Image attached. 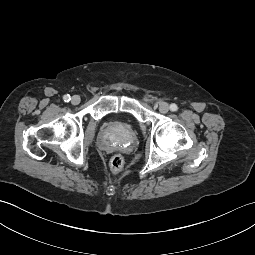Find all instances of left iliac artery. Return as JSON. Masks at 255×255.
Segmentation results:
<instances>
[{"label": "left iliac artery", "mask_w": 255, "mask_h": 255, "mask_svg": "<svg viewBox=\"0 0 255 255\" xmlns=\"http://www.w3.org/2000/svg\"><path fill=\"white\" fill-rule=\"evenodd\" d=\"M170 110L173 111V112H175V111L178 110V106H177L176 104L172 103V104L170 105Z\"/></svg>", "instance_id": "1"}]
</instances>
